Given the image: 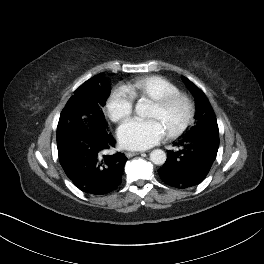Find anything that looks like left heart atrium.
I'll list each match as a JSON object with an SVG mask.
<instances>
[{
	"label": "left heart atrium",
	"mask_w": 264,
	"mask_h": 264,
	"mask_svg": "<svg viewBox=\"0 0 264 264\" xmlns=\"http://www.w3.org/2000/svg\"><path fill=\"white\" fill-rule=\"evenodd\" d=\"M165 134L164 126L155 118H133L123 123L118 130L121 144L133 150L148 149L159 143Z\"/></svg>",
	"instance_id": "1"
}]
</instances>
